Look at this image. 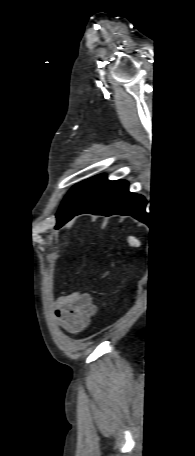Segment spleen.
Masks as SVG:
<instances>
[{
    "label": "spleen",
    "mask_w": 195,
    "mask_h": 456,
    "mask_svg": "<svg viewBox=\"0 0 195 456\" xmlns=\"http://www.w3.org/2000/svg\"><path fill=\"white\" fill-rule=\"evenodd\" d=\"M128 241L132 246L139 245V242L134 237H129Z\"/></svg>",
    "instance_id": "obj_1"
}]
</instances>
